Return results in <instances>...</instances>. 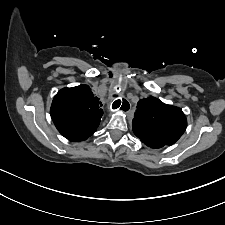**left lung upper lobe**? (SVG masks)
I'll list each match as a JSON object with an SVG mask.
<instances>
[{
    "label": "left lung upper lobe",
    "instance_id": "1",
    "mask_svg": "<svg viewBox=\"0 0 225 225\" xmlns=\"http://www.w3.org/2000/svg\"><path fill=\"white\" fill-rule=\"evenodd\" d=\"M187 120L182 109L155 97L141 99L132 121L134 134L146 145L163 147L174 144L184 133Z\"/></svg>",
    "mask_w": 225,
    "mask_h": 225
}]
</instances>
